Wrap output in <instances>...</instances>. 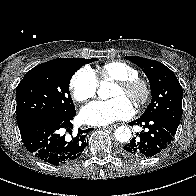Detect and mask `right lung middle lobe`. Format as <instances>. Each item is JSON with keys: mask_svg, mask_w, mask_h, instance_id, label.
<instances>
[{"mask_svg": "<svg viewBox=\"0 0 196 196\" xmlns=\"http://www.w3.org/2000/svg\"><path fill=\"white\" fill-rule=\"evenodd\" d=\"M97 59L59 58L29 70L17 86L18 124L40 114L70 115L75 107L69 92L72 75Z\"/></svg>", "mask_w": 196, "mask_h": 196, "instance_id": "dd1d6c3e", "label": "right lung middle lobe"}]
</instances>
